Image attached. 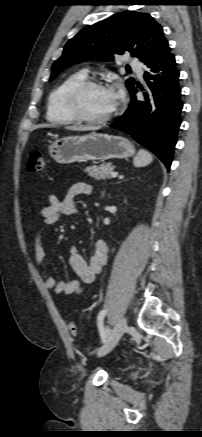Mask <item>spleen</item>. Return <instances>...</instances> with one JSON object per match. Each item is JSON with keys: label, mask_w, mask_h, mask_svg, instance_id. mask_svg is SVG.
Returning <instances> with one entry per match:
<instances>
[{"label": "spleen", "mask_w": 202, "mask_h": 437, "mask_svg": "<svg viewBox=\"0 0 202 437\" xmlns=\"http://www.w3.org/2000/svg\"><path fill=\"white\" fill-rule=\"evenodd\" d=\"M153 161V156L146 150H140L134 158L135 167H145Z\"/></svg>", "instance_id": "3e777b00"}]
</instances>
